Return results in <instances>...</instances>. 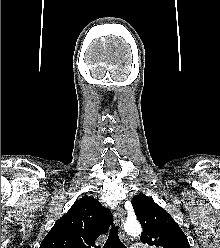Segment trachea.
I'll return each instance as SVG.
<instances>
[{
	"label": "trachea",
	"mask_w": 220,
	"mask_h": 248,
	"mask_svg": "<svg viewBox=\"0 0 220 248\" xmlns=\"http://www.w3.org/2000/svg\"><path fill=\"white\" fill-rule=\"evenodd\" d=\"M103 248H126L125 245L121 242L118 235L117 227H112L108 239L104 244Z\"/></svg>",
	"instance_id": "3493384b"
}]
</instances>
